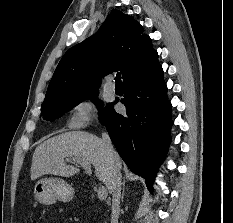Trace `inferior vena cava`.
I'll return each mask as SVG.
<instances>
[{
	"instance_id": "602c4592",
	"label": "inferior vena cava",
	"mask_w": 233,
	"mask_h": 223,
	"mask_svg": "<svg viewBox=\"0 0 233 223\" xmlns=\"http://www.w3.org/2000/svg\"><path fill=\"white\" fill-rule=\"evenodd\" d=\"M102 143L105 151H107L108 157L112 159L113 163L111 165L112 177L110 185L108 187L109 191L112 193V209H111V221L110 223H118L119 211H120V193H121V173L120 165L117 163L119 157L117 151L113 149L112 141L107 133L104 131L102 133Z\"/></svg>"
}]
</instances>
